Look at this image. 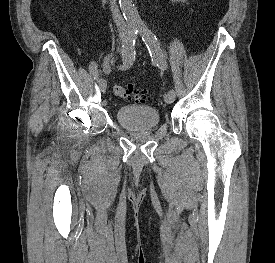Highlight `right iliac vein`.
I'll return each mask as SVG.
<instances>
[{
	"label": "right iliac vein",
	"mask_w": 275,
	"mask_h": 263,
	"mask_svg": "<svg viewBox=\"0 0 275 263\" xmlns=\"http://www.w3.org/2000/svg\"><path fill=\"white\" fill-rule=\"evenodd\" d=\"M125 42V40H123V43ZM98 85L100 87V90L102 93H105L106 88H107V83L104 79H99L98 80Z\"/></svg>",
	"instance_id": "obj_1"
}]
</instances>
